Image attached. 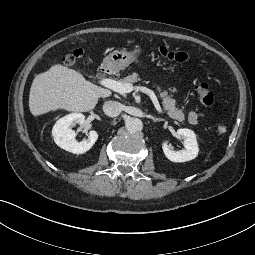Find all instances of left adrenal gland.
I'll return each instance as SVG.
<instances>
[{"label":"left adrenal gland","mask_w":255,"mask_h":255,"mask_svg":"<svg viewBox=\"0 0 255 255\" xmlns=\"http://www.w3.org/2000/svg\"><path fill=\"white\" fill-rule=\"evenodd\" d=\"M151 119L153 120V122L165 121V119H162V118H156V117H153V116H151Z\"/></svg>","instance_id":"obj_1"}]
</instances>
